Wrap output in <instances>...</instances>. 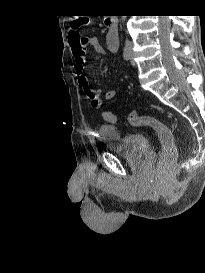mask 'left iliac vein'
<instances>
[{
  "label": "left iliac vein",
  "mask_w": 205,
  "mask_h": 273,
  "mask_svg": "<svg viewBox=\"0 0 205 273\" xmlns=\"http://www.w3.org/2000/svg\"><path fill=\"white\" fill-rule=\"evenodd\" d=\"M129 54H130V62L133 66H135V61H134V56H133V51L131 48H129Z\"/></svg>",
  "instance_id": "obj_1"
}]
</instances>
